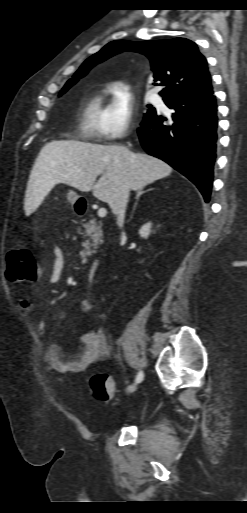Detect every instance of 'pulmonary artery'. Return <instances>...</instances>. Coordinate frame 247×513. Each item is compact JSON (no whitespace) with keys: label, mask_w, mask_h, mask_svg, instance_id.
Wrapping results in <instances>:
<instances>
[{"label":"pulmonary artery","mask_w":247,"mask_h":513,"mask_svg":"<svg viewBox=\"0 0 247 513\" xmlns=\"http://www.w3.org/2000/svg\"><path fill=\"white\" fill-rule=\"evenodd\" d=\"M157 99H158V98H157L156 96H153L151 100H152V102H156V101H157Z\"/></svg>","instance_id":"e3ab8cb5"}]
</instances>
